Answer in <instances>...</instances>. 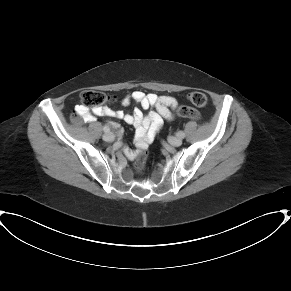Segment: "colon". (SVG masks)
Listing matches in <instances>:
<instances>
[{
	"instance_id": "colon-1",
	"label": "colon",
	"mask_w": 291,
	"mask_h": 291,
	"mask_svg": "<svg viewBox=\"0 0 291 291\" xmlns=\"http://www.w3.org/2000/svg\"><path fill=\"white\" fill-rule=\"evenodd\" d=\"M82 106L87 110H93L99 107H103L105 104L114 101L112 96L99 91V90H85L80 95ZM188 101L198 107H203L207 104V97L203 92L194 91L188 94ZM78 115V114H77ZM185 117L191 119H197L199 114L197 111L190 108H180L176 114L172 117ZM148 158V151L142 150L136 157L134 168L136 172L140 173L143 171L146 160Z\"/></svg>"
}]
</instances>
